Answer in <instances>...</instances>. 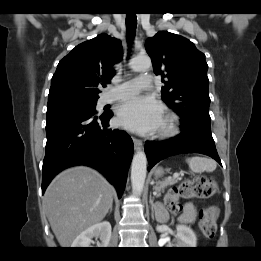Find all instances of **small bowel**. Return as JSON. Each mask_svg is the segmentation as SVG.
<instances>
[{
  "instance_id": "small-bowel-1",
  "label": "small bowel",
  "mask_w": 261,
  "mask_h": 261,
  "mask_svg": "<svg viewBox=\"0 0 261 261\" xmlns=\"http://www.w3.org/2000/svg\"><path fill=\"white\" fill-rule=\"evenodd\" d=\"M196 218V207L193 203L185 205L183 213L180 215L179 220L186 223H193Z\"/></svg>"
}]
</instances>
